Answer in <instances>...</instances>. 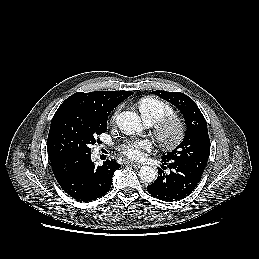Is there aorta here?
Wrapping results in <instances>:
<instances>
[{"label": "aorta", "mask_w": 259, "mask_h": 259, "mask_svg": "<svg viewBox=\"0 0 259 259\" xmlns=\"http://www.w3.org/2000/svg\"><path fill=\"white\" fill-rule=\"evenodd\" d=\"M117 126L126 134H133L142 130L141 119L138 114L132 111H124L117 116ZM157 171L151 166H142L139 170V177L142 181L151 183L157 178Z\"/></svg>", "instance_id": "762f6f07"}]
</instances>
